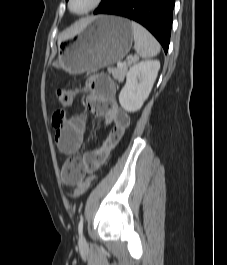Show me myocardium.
Masks as SVG:
<instances>
[{"label":"myocardium","instance_id":"myocardium-1","mask_svg":"<svg viewBox=\"0 0 227 265\" xmlns=\"http://www.w3.org/2000/svg\"><path fill=\"white\" fill-rule=\"evenodd\" d=\"M72 1L73 0H68L67 1L68 10L72 14L78 15V16H81V15H85V14L90 13L91 11L95 10L103 2V0H93L92 3L86 9H84L82 11H74L72 9Z\"/></svg>","mask_w":227,"mask_h":265}]
</instances>
